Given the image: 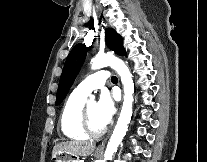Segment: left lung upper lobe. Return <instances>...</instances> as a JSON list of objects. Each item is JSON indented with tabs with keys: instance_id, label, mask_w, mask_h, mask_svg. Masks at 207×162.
I'll return each mask as SVG.
<instances>
[{
	"instance_id": "1",
	"label": "left lung upper lobe",
	"mask_w": 207,
	"mask_h": 162,
	"mask_svg": "<svg viewBox=\"0 0 207 162\" xmlns=\"http://www.w3.org/2000/svg\"><path fill=\"white\" fill-rule=\"evenodd\" d=\"M105 32L106 42L109 48H111L118 55H126L122 45L121 36L111 28L106 29ZM86 51L87 48L85 45L80 43L77 44L68 55L57 90L56 105H59L62 102L69 91V88L71 87L80 70V67L84 62Z\"/></svg>"
}]
</instances>
